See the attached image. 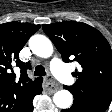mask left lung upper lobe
Masks as SVG:
<instances>
[{"label": "left lung upper lobe", "mask_w": 112, "mask_h": 112, "mask_svg": "<svg viewBox=\"0 0 112 112\" xmlns=\"http://www.w3.org/2000/svg\"><path fill=\"white\" fill-rule=\"evenodd\" d=\"M64 62L77 61L81 69L72 75V86H64L74 99L110 104L112 101V50L104 36L92 26L75 21L42 25Z\"/></svg>", "instance_id": "obj_1"}]
</instances>
